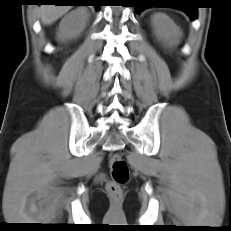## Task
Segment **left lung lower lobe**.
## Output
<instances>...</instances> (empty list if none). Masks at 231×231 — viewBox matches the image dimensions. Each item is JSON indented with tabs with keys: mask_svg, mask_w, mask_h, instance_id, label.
Instances as JSON below:
<instances>
[{
	"mask_svg": "<svg viewBox=\"0 0 231 231\" xmlns=\"http://www.w3.org/2000/svg\"><path fill=\"white\" fill-rule=\"evenodd\" d=\"M160 4L169 5L160 6ZM134 7L137 13L148 7H174L186 12L192 20L197 16V7L193 6L190 0H134Z\"/></svg>",
	"mask_w": 231,
	"mask_h": 231,
	"instance_id": "obj_1",
	"label": "left lung lower lobe"
}]
</instances>
